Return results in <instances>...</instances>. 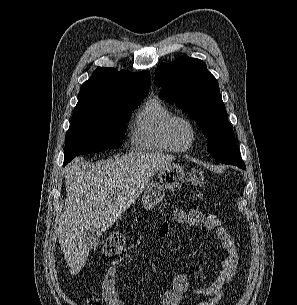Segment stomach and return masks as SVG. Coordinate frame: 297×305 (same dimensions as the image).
I'll return each instance as SVG.
<instances>
[{
    "label": "stomach",
    "instance_id": "1",
    "mask_svg": "<svg viewBox=\"0 0 297 305\" xmlns=\"http://www.w3.org/2000/svg\"><path fill=\"white\" fill-rule=\"evenodd\" d=\"M159 181L149 182L142 196V204L146 210L155 208L165 197V190L175 191L181 188L184 179V168L170 163L158 171Z\"/></svg>",
    "mask_w": 297,
    "mask_h": 305
}]
</instances>
